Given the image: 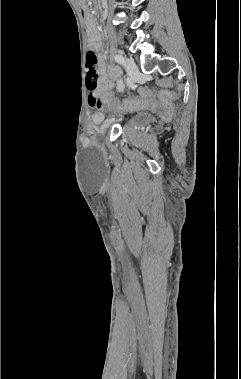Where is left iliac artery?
I'll return each mask as SVG.
<instances>
[{"label":"left iliac artery","instance_id":"obj_1","mask_svg":"<svg viewBox=\"0 0 241 379\" xmlns=\"http://www.w3.org/2000/svg\"><path fill=\"white\" fill-rule=\"evenodd\" d=\"M114 58H115V60H116L119 64H121V65L124 64V58H123V56H122L121 54H116V55L114 56Z\"/></svg>","mask_w":241,"mask_h":379}]
</instances>
